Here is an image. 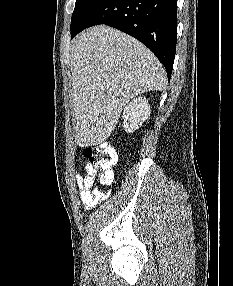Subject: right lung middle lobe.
I'll return each mask as SVG.
<instances>
[{"instance_id": "1", "label": "right lung middle lobe", "mask_w": 233, "mask_h": 286, "mask_svg": "<svg viewBox=\"0 0 233 286\" xmlns=\"http://www.w3.org/2000/svg\"><path fill=\"white\" fill-rule=\"evenodd\" d=\"M92 0H76L75 8L71 18L70 28L80 20Z\"/></svg>"}]
</instances>
